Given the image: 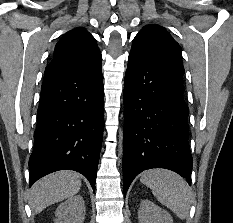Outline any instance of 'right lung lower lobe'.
Listing matches in <instances>:
<instances>
[{"mask_svg":"<svg viewBox=\"0 0 233 223\" xmlns=\"http://www.w3.org/2000/svg\"><path fill=\"white\" fill-rule=\"evenodd\" d=\"M101 64L44 79L35 144L29 159L30 184L58 170L83 174L95 190L104 128Z\"/></svg>","mask_w":233,"mask_h":223,"instance_id":"right-lung-lower-lobe-1","label":"right lung lower lobe"}]
</instances>
